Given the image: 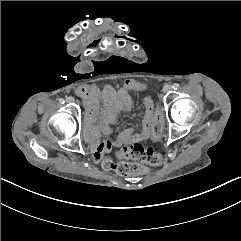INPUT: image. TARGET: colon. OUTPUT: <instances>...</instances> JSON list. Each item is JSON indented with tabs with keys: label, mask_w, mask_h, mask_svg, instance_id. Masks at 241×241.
<instances>
[{
	"label": "colon",
	"mask_w": 241,
	"mask_h": 241,
	"mask_svg": "<svg viewBox=\"0 0 241 241\" xmlns=\"http://www.w3.org/2000/svg\"><path fill=\"white\" fill-rule=\"evenodd\" d=\"M137 91L141 95H146L150 91V86L146 82H141L137 86ZM163 129L162 117L158 113L156 115L155 123L153 125L152 137L155 140H158L161 137ZM102 158L104 156H101ZM107 157V156H106ZM118 158H128V159H140L145 163L150 165H158L163 159L154 149L144 145L142 143H134L132 145H127L121 151L117 153ZM100 158V159H102ZM110 161V159H107ZM102 163V162H101ZM115 169L117 173L122 175H131V174H144L147 171L146 166L144 165H132L131 163H126L124 161L119 162V164L111 163L110 165L105 164L102 167L103 172L108 173L110 170Z\"/></svg>",
	"instance_id": "5ec220e1"
}]
</instances>
